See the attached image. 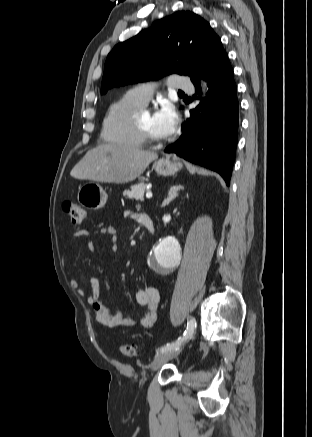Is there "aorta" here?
I'll list each match as a JSON object with an SVG mask.
<instances>
[{"label": "aorta", "mask_w": 312, "mask_h": 437, "mask_svg": "<svg viewBox=\"0 0 312 437\" xmlns=\"http://www.w3.org/2000/svg\"><path fill=\"white\" fill-rule=\"evenodd\" d=\"M155 266L158 271L175 265L180 260L181 250L179 242L174 237H166L155 247Z\"/></svg>", "instance_id": "1"}]
</instances>
